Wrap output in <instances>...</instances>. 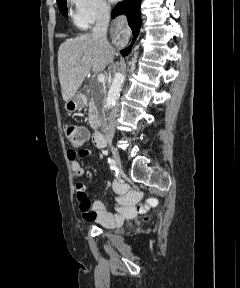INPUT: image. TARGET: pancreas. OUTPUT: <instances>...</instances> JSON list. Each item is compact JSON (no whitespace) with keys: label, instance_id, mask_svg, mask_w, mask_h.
Listing matches in <instances>:
<instances>
[{"label":"pancreas","instance_id":"1","mask_svg":"<svg viewBox=\"0 0 240 288\" xmlns=\"http://www.w3.org/2000/svg\"><path fill=\"white\" fill-rule=\"evenodd\" d=\"M95 89L97 91H100L101 93H105V87L103 84H100L99 82H95ZM89 118L93 119L96 117L98 111H97V105L95 103L94 98L92 97L89 101Z\"/></svg>","mask_w":240,"mask_h":288}]
</instances>
